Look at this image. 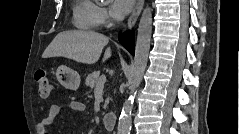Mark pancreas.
I'll use <instances>...</instances> for the list:
<instances>
[{
	"label": "pancreas",
	"mask_w": 239,
	"mask_h": 134,
	"mask_svg": "<svg viewBox=\"0 0 239 134\" xmlns=\"http://www.w3.org/2000/svg\"><path fill=\"white\" fill-rule=\"evenodd\" d=\"M100 80V71H94L91 74H89L85 80L86 86H89L91 89H93ZM108 100L105 101L104 108L107 107Z\"/></svg>",
	"instance_id": "1"
}]
</instances>
